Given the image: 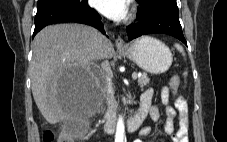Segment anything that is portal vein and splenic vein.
Listing matches in <instances>:
<instances>
[{
    "label": "portal vein and splenic vein",
    "mask_w": 227,
    "mask_h": 142,
    "mask_svg": "<svg viewBox=\"0 0 227 142\" xmlns=\"http://www.w3.org/2000/svg\"><path fill=\"white\" fill-rule=\"evenodd\" d=\"M138 76H139V75H138L137 73H133V74H132V79H133V80H136Z\"/></svg>",
    "instance_id": "portal-vein-and-splenic-vein-1"
}]
</instances>
